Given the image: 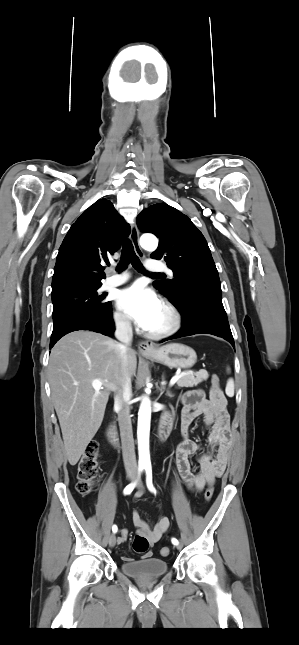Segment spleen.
<instances>
[{"label": "spleen", "mask_w": 299, "mask_h": 645, "mask_svg": "<svg viewBox=\"0 0 299 645\" xmlns=\"http://www.w3.org/2000/svg\"><path fill=\"white\" fill-rule=\"evenodd\" d=\"M228 371H229V368H228ZM226 394L229 397H232L234 395V380L232 378L228 379V381H227Z\"/></svg>", "instance_id": "obj_1"}]
</instances>
